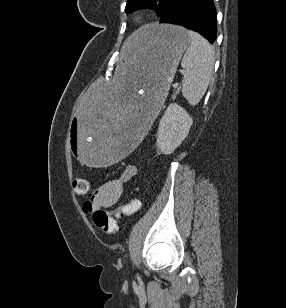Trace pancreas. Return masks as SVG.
<instances>
[{"instance_id":"cf45deb5","label":"pancreas","mask_w":286,"mask_h":308,"mask_svg":"<svg viewBox=\"0 0 286 308\" xmlns=\"http://www.w3.org/2000/svg\"><path fill=\"white\" fill-rule=\"evenodd\" d=\"M179 93V89H177V91L175 92V94L173 95V99H175L176 95Z\"/></svg>"}]
</instances>
